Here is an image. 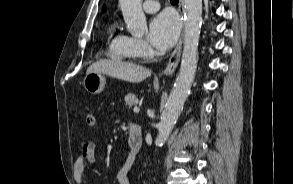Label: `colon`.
I'll use <instances>...</instances> for the list:
<instances>
[{"mask_svg": "<svg viewBox=\"0 0 293 184\" xmlns=\"http://www.w3.org/2000/svg\"><path fill=\"white\" fill-rule=\"evenodd\" d=\"M96 123V118L93 113H87L86 115V124L89 127H93Z\"/></svg>", "mask_w": 293, "mask_h": 184, "instance_id": "1", "label": "colon"}]
</instances>
